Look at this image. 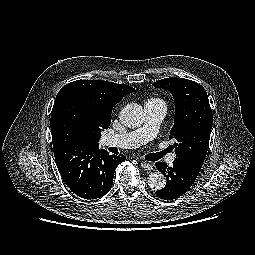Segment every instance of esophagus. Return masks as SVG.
<instances>
[{
  "instance_id": "esophagus-1",
  "label": "esophagus",
  "mask_w": 255,
  "mask_h": 255,
  "mask_svg": "<svg viewBox=\"0 0 255 255\" xmlns=\"http://www.w3.org/2000/svg\"><path fill=\"white\" fill-rule=\"evenodd\" d=\"M141 167L144 168L145 170H152L153 169V165L148 163V162H144L142 161L140 163Z\"/></svg>"
}]
</instances>
